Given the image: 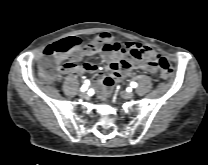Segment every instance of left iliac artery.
Returning <instances> with one entry per match:
<instances>
[{
	"label": "left iliac artery",
	"mask_w": 208,
	"mask_h": 165,
	"mask_svg": "<svg viewBox=\"0 0 208 165\" xmlns=\"http://www.w3.org/2000/svg\"><path fill=\"white\" fill-rule=\"evenodd\" d=\"M131 86H132L133 88H136V87H137V83H136V82H131Z\"/></svg>",
	"instance_id": "1"
}]
</instances>
